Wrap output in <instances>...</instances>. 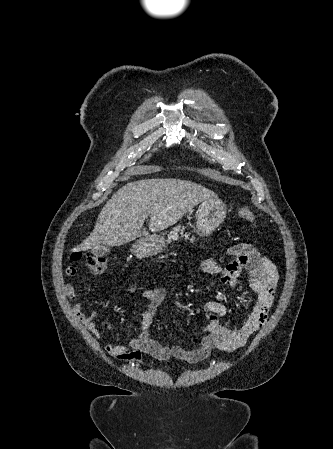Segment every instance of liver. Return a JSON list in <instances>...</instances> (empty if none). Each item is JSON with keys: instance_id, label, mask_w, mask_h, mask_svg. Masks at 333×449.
Instances as JSON below:
<instances>
[{"instance_id": "obj_1", "label": "liver", "mask_w": 333, "mask_h": 449, "mask_svg": "<svg viewBox=\"0 0 333 449\" xmlns=\"http://www.w3.org/2000/svg\"><path fill=\"white\" fill-rule=\"evenodd\" d=\"M217 194L197 183L181 179H145L126 184L105 204L90 235L73 251L100 246H121L146 236L149 230H164L206 199Z\"/></svg>"}]
</instances>
